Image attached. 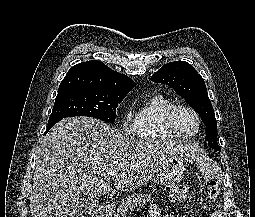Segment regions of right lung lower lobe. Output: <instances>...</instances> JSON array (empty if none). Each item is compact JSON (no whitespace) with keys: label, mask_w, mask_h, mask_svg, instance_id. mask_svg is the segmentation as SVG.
Wrapping results in <instances>:
<instances>
[{"label":"right lung lower lobe","mask_w":255,"mask_h":217,"mask_svg":"<svg viewBox=\"0 0 255 217\" xmlns=\"http://www.w3.org/2000/svg\"><path fill=\"white\" fill-rule=\"evenodd\" d=\"M59 121H60V120L54 121V122H52V123H48V127H47V129H46L45 134H47V132L51 129V127H52L53 125H55L57 122H59Z\"/></svg>","instance_id":"1"}]
</instances>
